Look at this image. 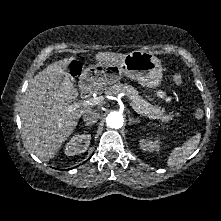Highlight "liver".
<instances>
[{
	"label": "liver",
	"instance_id": "obj_1",
	"mask_svg": "<svg viewBox=\"0 0 221 221\" xmlns=\"http://www.w3.org/2000/svg\"><path fill=\"white\" fill-rule=\"evenodd\" d=\"M126 54L99 52V63L118 64ZM74 57L56 61L30 82L20 110L22 135L27 147L39 159L49 161L73 133L78 120L91 108L67 111L78 91L66 72Z\"/></svg>",
	"mask_w": 221,
	"mask_h": 221
}]
</instances>
